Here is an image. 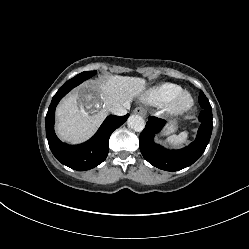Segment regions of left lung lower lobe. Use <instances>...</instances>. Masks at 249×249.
<instances>
[{
    "label": "left lung lower lobe",
    "instance_id": "0a47b994",
    "mask_svg": "<svg viewBox=\"0 0 249 249\" xmlns=\"http://www.w3.org/2000/svg\"><path fill=\"white\" fill-rule=\"evenodd\" d=\"M200 106L203 108L199 115L201 125L196 139L187 147L179 150H168L154 142V136L165 125L163 119L149 117L148 122L140 134V150L143 157L153 166L166 170L178 171L192 165L205 151L212 133V108L207 97L201 91Z\"/></svg>",
    "mask_w": 249,
    "mask_h": 249
}]
</instances>
